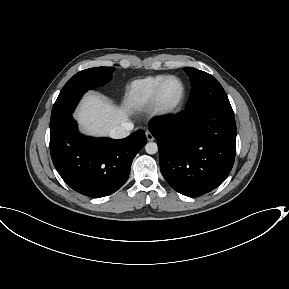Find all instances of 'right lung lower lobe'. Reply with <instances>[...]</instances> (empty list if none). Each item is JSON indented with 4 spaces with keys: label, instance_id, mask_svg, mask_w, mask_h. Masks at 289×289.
Segmentation results:
<instances>
[{
    "label": "right lung lower lobe",
    "instance_id": "1",
    "mask_svg": "<svg viewBox=\"0 0 289 289\" xmlns=\"http://www.w3.org/2000/svg\"><path fill=\"white\" fill-rule=\"evenodd\" d=\"M146 142L143 130L121 140L84 136L71 116L50 129V153L56 170L73 190L89 197L116 192Z\"/></svg>",
    "mask_w": 289,
    "mask_h": 289
}]
</instances>
